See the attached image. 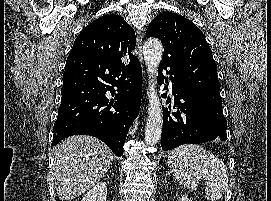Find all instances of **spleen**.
<instances>
[{
  "label": "spleen",
  "instance_id": "spleen-1",
  "mask_svg": "<svg viewBox=\"0 0 271 201\" xmlns=\"http://www.w3.org/2000/svg\"><path fill=\"white\" fill-rule=\"evenodd\" d=\"M173 176L183 186L196 189L205 179V198L216 201L228 188V171L224 163L211 152L196 144H184L168 155Z\"/></svg>",
  "mask_w": 271,
  "mask_h": 201
}]
</instances>
